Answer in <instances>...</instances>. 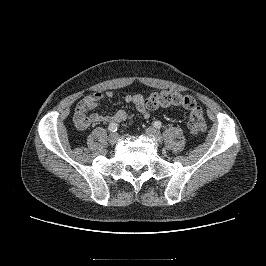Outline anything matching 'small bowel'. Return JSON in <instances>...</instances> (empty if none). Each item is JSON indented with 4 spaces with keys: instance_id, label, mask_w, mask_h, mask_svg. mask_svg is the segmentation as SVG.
I'll return each mask as SVG.
<instances>
[{
    "instance_id": "small-bowel-1",
    "label": "small bowel",
    "mask_w": 266,
    "mask_h": 266,
    "mask_svg": "<svg viewBox=\"0 0 266 266\" xmlns=\"http://www.w3.org/2000/svg\"><path fill=\"white\" fill-rule=\"evenodd\" d=\"M115 96L114 92L109 90L106 92H94L86 95L76 106L74 111V124L80 131L86 130L92 125L100 123H119L124 124L133 114L126 112L125 110H118L112 115H103L100 113L92 112L96 109L104 98L112 99ZM124 101L127 104H131L135 107L137 113L142 117L148 118L150 116V110L145 104V99L141 94L127 95L124 97Z\"/></svg>"
}]
</instances>
